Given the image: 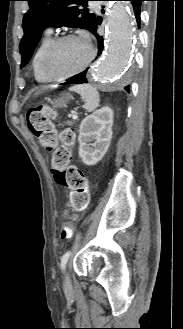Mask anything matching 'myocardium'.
Here are the masks:
<instances>
[{
    "label": "myocardium",
    "mask_w": 183,
    "mask_h": 329,
    "mask_svg": "<svg viewBox=\"0 0 183 329\" xmlns=\"http://www.w3.org/2000/svg\"><path fill=\"white\" fill-rule=\"evenodd\" d=\"M70 39H81L80 37H78L77 35L74 34H65L62 36H59L55 39H53V41L50 43V45L47 47L44 55H43V59H42V68L43 71L45 73V75L47 76V78L50 81H60V80H65L68 78H71L75 75L80 74L81 72H83L93 61L94 57H95V50L92 47V45H90L89 43H87L88 48H89V56L86 60V62L78 69L66 73V74H62V75H54L49 67V61L51 58L52 53L55 51V49L64 41L70 40Z\"/></svg>",
    "instance_id": "f54148a6"
}]
</instances>
